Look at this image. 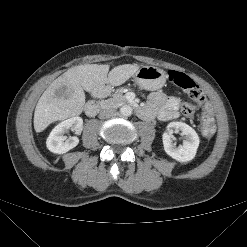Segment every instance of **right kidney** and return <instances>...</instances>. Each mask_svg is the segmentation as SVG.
Listing matches in <instances>:
<instances>
[{"instance_id": "ca27d5eb", "label": "right kidney", "mask_w": 247, "mask_h": 247, "mask_svg": "<svg viewBox=\"0 0 247 247\" xmlns=\"http://www.w3.org/2000/svg\"><path fill=\"white\" fill-rule=\"evenodd\" d=\"M83 129V119L81 117H72L59 123L51 131L46 141V146L49 151L56 154H63L76 147L79 139L76 136L66 139L64 134L69 130L80 134Z\"/></svg>"}]
</instances>
